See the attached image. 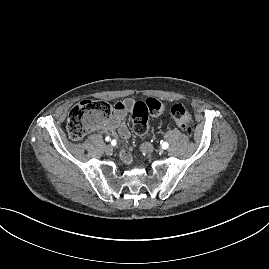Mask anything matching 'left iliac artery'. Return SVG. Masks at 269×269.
<instances>
[{
  "mask_svg": "<svg viewBox=\"0 0 269 269\" xmlns=\"http://www.w3.org/2000/svg\"><path fill=\"white\" fill-rule=\"evenodd\" d=\"M160 145H161V147H162L163 149H167L168 146H169V144H168L167 142H165V141H161V142H160Z\"/></svg>",
  "mask_w": 269,
  "mask_h": 269,
  "instance_id": "1",
  "label": "left iliac artery"
}]
</instances>
